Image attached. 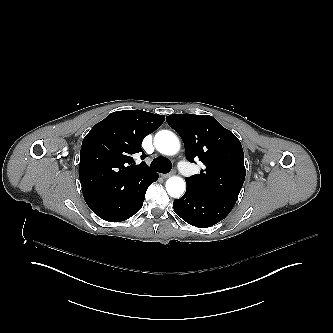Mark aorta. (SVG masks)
Wrapping results in <instances>:
<instances>
[{
    "mask_svg": "<svg viewBox=\"0 0 333 333\" xmlns=\"http://www.w3.org/2000/svg\"><path fill=\"white\" fill-rule=\"evenodd\" d=\"M157 150L165 155H175L180 149V143L176 135L170 131H159L154 138ZM186 188L184 180L180 177H170L166 182V190L171 197L182 196Z\"/></svg>",
    "mask_w": 333,
    "mask_h": 333,
    "instance_id": "1",
    "label": "aorta"
}]
</instances>
